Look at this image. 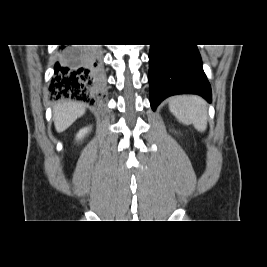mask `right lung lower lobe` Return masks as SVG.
Masks as SVG:
<instances>
[{"instance_id":"right-lung-lower-lobe-1","label":"right lung lower lobe","mask_w":267,"mask_h":267,"mask_svg":"<svg viewBox=\"0 0 267 267\" xmlns=\"http://www.w3.org/2000/svg\"><path fill=\"white\" fill-rule=\"evenodd\" d=\"M100 65L101 54L96 47L62 45L49 86L51 95L93 103L103 85Z\"/></svg>"}]
</instances>
